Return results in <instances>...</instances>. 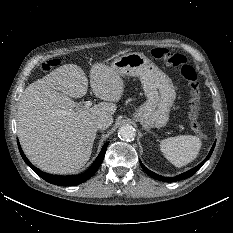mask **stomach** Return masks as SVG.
Listing matches in <instances>:
<instances>
[{
    "mask_svg": "<svg viewBox=\"0 0 233 233\" xmlns=\"http://www.w3.org/2000/svg\"><path fill=\"white\" fill-rule=\"evenodd\" d=\"M111 67L121 76L139 77L147 101L134 113L143 128H160L167 124L176 92L172 80L140 52L116 57Z\"/></svg>",
    "mask_w": 233,
    "mask_h": 233,
    "instance_id": "0dacf381",
    "label": "stomach"
}]
</instances>
